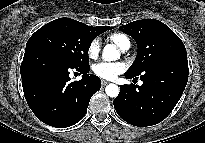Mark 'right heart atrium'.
Returning <instances> with one entry per match:
<instances>
[{
    "label": "right heart atrium",
    "mask_w": 205,
    "mask_h": 143,
    "mask_svg": "<svg viewBox=\"0 0 205 143\" xmlns=\"http://www.w3.org/2000/svg\"><path fill=\"white\" fill-rule=\"evenodd\" d=\"M101 49V42L99 38H94L90 41L88 48H87V54L90 58H96L100 52Z\"/></svg>",
    "instance_id": "right-heart-atrium-1"
}]
</instances>
